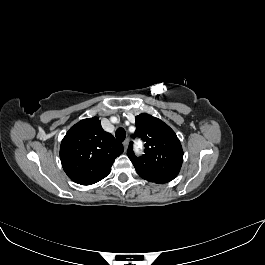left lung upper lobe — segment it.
Returning <instances> with one entry per match:
<instances>
[{
	"instance_id": "1",
	"label": "left lung upper lobe",
	"mask_w": 265,
	"mask_h": 265,
	"mask_svg": "<svg viewBox=\"0 0 265 265\" xmlns=\"http://www.w3.org/2000/svg\"><path fill=\"white\" fill-rule=\"evenodd\" d=\"M134 137L145 142V154L136 157L130 142L128 157L140 177L155 183H167L179 173L183 150L175 132L163 121L147 113L135 118Z\"/></svg>"
}]
</instances>
